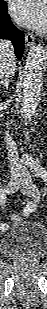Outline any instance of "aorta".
Instances as JSON below:
<instances>
[{
	"label": "aorta",
	"instance_id": "obj_1",
	"mask_svg": "<svg viewBox=\"0 0 47 309\" xmlns=\"http://www.w3.org/2000/svg\"><path fill=\"white\" fill-rule=\"evenodd\" d=\"M45 52L35 45L28 53L22 77V117L31 118L38 107L43 89Z\"/></svg>",
	"mask_w": 47,
	"mask_h": 309
}]
</instances>
